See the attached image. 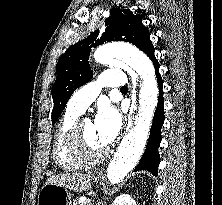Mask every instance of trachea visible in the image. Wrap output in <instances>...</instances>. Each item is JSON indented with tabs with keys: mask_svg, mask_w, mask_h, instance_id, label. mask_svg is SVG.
<instances>
[{
	"mask_svg": "<svg viewBox=\"0 0 222 205\" xmlns=\"http://www.w3.org/2000/svg\"><path fill=\"white\" fill-rule=\"evenodd\" d=\"M121 90H128L127 86L121 88Z\"/></svg>",
	"mask_w": 222,
	"mask_h": 205,
	"instance_id": "obj_1",
	"label": "trachea"
}]
</instances>
